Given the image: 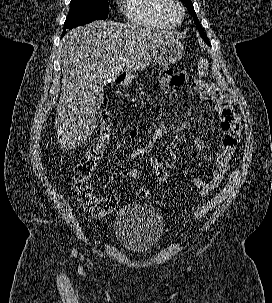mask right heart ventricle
<instances>
[{
  "label": "right heart ventricle",
  "instance_id": "obj_1",
  "mask_svg": "<svg viewBox=\"0 0 272 303\" xmlns=\"http://www.w3.org/2000/svg\"><path fill=\"white\" fill-rule=\"evenodd\" d=\"M160 0H123L126 19L137 26L165 29L167 26L158 16Z\"/></svg>",
  "mask_w": 272,
  "mask_h": 303
}]
</instances>
